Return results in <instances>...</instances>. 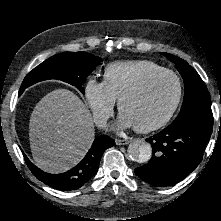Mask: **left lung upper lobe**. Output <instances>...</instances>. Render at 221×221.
I'll list each match as a JSON object with an SVG mask.
<instances>
[{
	"label": "left lung upper lobe",
	"instance_id": "1",
	"mask_svg": "<svg viewBox=\"0 0 221 221\" xmlns=\"http://www.w3.org/2000/svg\"><path fill=\"white\" fill-rule=\"evenodd\" d=\"M163 55L176 64L185 86L184 101L180 113L170 125L176 124L193 113L212 114L210 94L199 74L183 59L169 53H163Z\"/></svg>",
	"mask_w": 221,
	"mask_h": 221
}]
</instances>
